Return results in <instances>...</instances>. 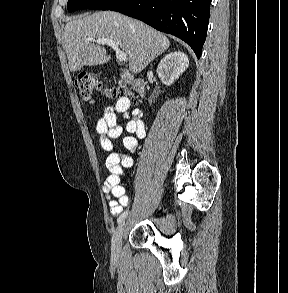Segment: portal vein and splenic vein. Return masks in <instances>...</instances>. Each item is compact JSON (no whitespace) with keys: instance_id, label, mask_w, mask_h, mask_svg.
<instances>
[{"instance_id":"1","label":"portal vein and splenic vein","mask_w":288,"mask_h":293,"mask_svg":"<svg viewBox=\"0 0 288 293\" xmlns=\"http://www.w3.org/2000/svg\"><path fill=\"white\" fill-rule=\"evenodd\" d=\"M88 40L93 41L100 45L110 46L116 52V58L118 61H121V62L126 61L127 59L126 53L119 49L118 44L114 40L108 39V38H100V39L88 38Z\"/></svg>"}]
</instances>
